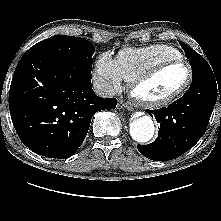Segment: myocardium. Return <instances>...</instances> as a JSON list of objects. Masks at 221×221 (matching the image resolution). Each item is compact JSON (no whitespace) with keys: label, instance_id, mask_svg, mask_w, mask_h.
I'll return each mask as SVG.
<instances>
[{"label":"myocardium","instance_id":"myocardium-1","mask_svg":"<svg viewBox=\"0 0 221 221\" xmlns=\"http://www.w3.org/2000/svg\"><path fill=\"white\" fill-rule=\"evenodd\" d=\"M175 65H183L188 70L187 79L178 90L160 99H148L142 96L141 94H139L138 91L141 86L153 80L164 70ZM192 81H193V68L189 62L183 59L167 60L152 67L150 70H148L147 72L143 73L135 80H133L130 86V94L139 105L145 108L149 109L163 108L175 102L177 99H179L189 89L190 85L192 84Z\"/></svg>","mask_w":221,"mask_h":221}]
</instances>
